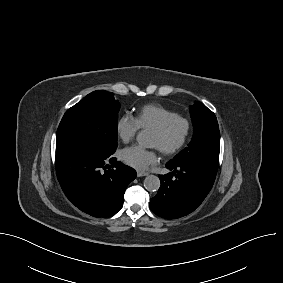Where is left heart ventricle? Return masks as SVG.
Returning <instances> with one entry per match:
<instances>
[{"label": "left heart ventricle", "mask_w": 283, "mask_h": 283, "mask_svg": "<svg viewBox=\"0 0 283 283\" xmlns=\"http://www.w3.org/2000/svg\"><path fill=\"white\" fill-rule=\"evenodd\" d=\"M184 132V126L182 123L174 124L169 132L165 136H160L155 132H152L150 145L157 147L158 149H167L177 144Z\"/></svg>", "instance_id": "b2bd125f"}]
</instances>
